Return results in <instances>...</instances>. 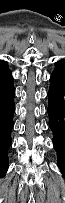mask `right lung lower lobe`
<instances>
[{
  "label": "right lung lower lobe",
  "instance_id": "98d812e1",
  "mask_svg": "<svg viewBox=\"0 0 65 203\" xmlns=\"http://www.w3.org/2000/svg\"><path fill=\"white\" fill-rule=\"evenodd\" d=\"M13 77L5 64L0 65V177L8 170V150L11 145L14 106Z\"/></svg>",
  "mask_w": 65,
  "mask_h": 203
}]
</instances>
